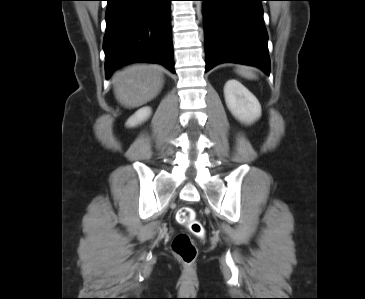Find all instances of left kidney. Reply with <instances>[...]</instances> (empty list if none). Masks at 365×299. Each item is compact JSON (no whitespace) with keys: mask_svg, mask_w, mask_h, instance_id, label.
<instances>
[{"mask_svg":"<svg viewBox=\"0 0 365 299\" xmlns=\"http://www.w3.org/2000/svg\"><path fill=\"white\" fill-rule=\"evenodd\" d=\"M224 96L227 107L240 121L252 123L261 116V106L257 98L240 82L227 81Z\"/></svg>","mask_w":365,"mask_h":299,"instance_id":"obj_1","label":"left kidney"}]
</instances>
